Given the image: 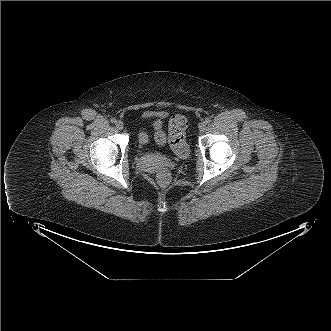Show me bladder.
I'll use <instances>...</instances> for the list:
<instances>
[{
    "label": "bladder",
    "instance_id": "bladder-1",
    "mask_svg": "<svg viewBox=\"0 0 331 331\" xmlns=\"http://www.w3.org/2000/svg\"><path fill=\"white\" fill-rule=\"evenodd\" d=\"M141 156H144V157H146V158H150V159H159V158H161L163 155H162V153H160V152H151V153L147 152V153H143V154H141Z\"/></svg>",
    "mask_w": 331,
    "mask_h": 331
}]
</instances>
